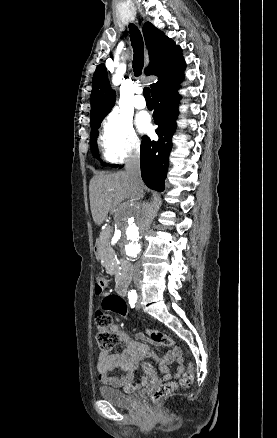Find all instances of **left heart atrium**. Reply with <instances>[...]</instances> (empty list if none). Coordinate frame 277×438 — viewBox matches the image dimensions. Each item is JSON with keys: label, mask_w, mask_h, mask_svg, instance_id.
<instances>
[{"label": "left heart atrium", "mask_w": 277, "mask_h": 438, "mask_svg": "<svg viewBox=\"0 0 277 438\" xmlns=\"http://www.w3.org/2000/svg\"><path fill=\"white\" fill-rule=\"evenodd\" d=\"M136 123L140 132L146 133L149 130V116L146 113L139 114Z\"/></svg>", "instance_id": "1"}]
</instances>
